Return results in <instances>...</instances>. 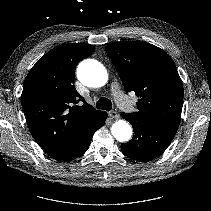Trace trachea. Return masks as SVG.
Wrapping results in <instances>:
<instances>
[{"mask_svg": "<svg viewBox=\"0 0 211 211\" xmlns=\"http://www.w3.org/2000/svg\"><path fill=\"white\" fill-rule=\"evenodd\" d=\"M96 108L110 111L112 109V103L109 99L102 97L97 101Z\"/></svg>", "mask_w": 211, "mask_h": 211, "instance_id": "3493384b", "label": "trachea"}]
</instances>
